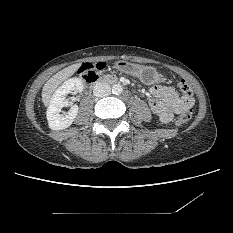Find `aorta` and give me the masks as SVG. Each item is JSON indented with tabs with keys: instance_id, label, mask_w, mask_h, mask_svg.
I'll return each mask as SVG.
<instances>
[{
	"instance_id": "aorta-1",
	"label": "aorta",
	"mask_w": 233,
	"mask_h": 233,
	"mask_svg": "<svg viewBox=\"0 0 233 233\" xmlns=\"http://www.w3.org/2000/svg\"><path fill=\"white\" fill-rule=\"evenodd\" d=\"M112 92L116 95H119L123 92V87L120 84H115L112 88Z\"/></svg>"
}]
</instances>
